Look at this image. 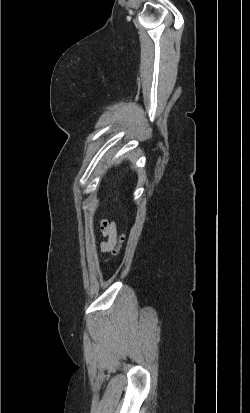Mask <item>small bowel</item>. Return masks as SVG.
<instances>
[{"instance_id": "small-bowel-1", "label": "small bowel", "mask_w": 250, "mask_h": 413, "mask_svg": "<svg viewBox=\"0 0 250 413\" xmlns=\"http://www.w3.org/2000/svg\"><path fill=\"white\" fill-rule=\"evenodd\" d=\"M101 232L104 241L101 242L100 248L103 252L112 251L117 244V230L113 222L103 220L101 222Z\"/></svg>"}]
</instances>
